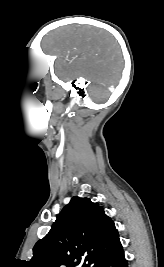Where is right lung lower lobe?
<instances>
[{
  "label": "right lung lower lobe",
  "instance_id": "1",
  "mask_svg": "<svg viewBox=\"0 0 164 267\" xmlns=\"http://www.w3.org/2000/svg\"><path fill=\"white\" fill-rule=\"evenodd\" d=\"M94 267H128L127 260L124 257L123 249H119L100 259Z\"/></svg>",
  "mask_w": 164,
  "mask_h": 267
}]
</instances>
